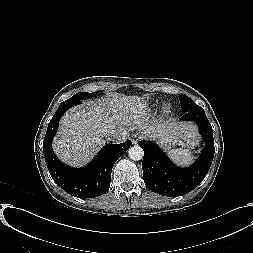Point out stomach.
Returning a JSON list of instances; mask_svg holds the SVG:
<instances>
[{"instance_id":"0dacf381","label":"stomach","mask_w":253,"mask_h":253,"mask_svg":"<svg viewBox=\"0 0 253 253\" xmlns=\"http://www.w3.org/2000/svg\"><path fill=\"white\" fill-rule=\"evenodd\" d=\"M176 145H178L177 143L173 142V141H168L166 143H163L162 146L164 147L165 150L167 151H171L172 148H174Z\"/></svg>"}]
</instances>
